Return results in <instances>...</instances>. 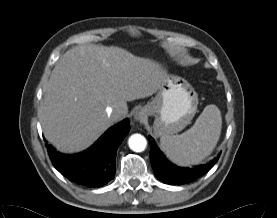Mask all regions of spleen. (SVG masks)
Returning <instances> with one entry per match:
<instances>
[{"label": "spleen", "mask_w": 277, "mask_h": 218, "mask_svg": "<svg viewBox=\"0 0 277 218\" xmlns=\"http://www.w3.org/2000/svg\"><path fill=\"white\" fill-rule=\"evenodd\" d=\"M221 128L219 108L207 105L189 130L180 135L162 136L161 148L172 162L180 166L198 164L216 147Z\"/></svg>", "instance_id": "3e777b00"}]
</instances>
